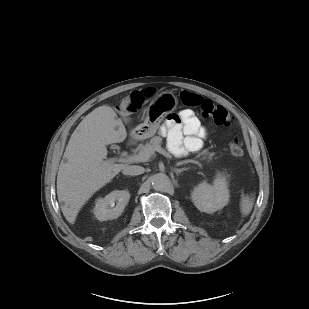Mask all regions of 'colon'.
Returning <instances> with one entry per match:
<instances>
[{"label": "colon", "instance_id": "obj_1", "mask_svg": "<svg viewBox=\"0 0 309 309\" xmlns=\"http://www.w3.org/2000/svg\"><path fill=\"white\" fill-rule=\"evenodd\" d=\"M182 103L196 109L204 118H211L219 126H229L231 116L226 108L213 103L211 100L203 98L200 95L184 91L181 94ZM142 104V97L134 94L128 101L129 110H136ZM229 152L231 155L239 157L244 153L243 144L240 138L236 137L229 143Z\"/></svg>", "mask_w": 309, "mask_h": 309}]
</instances>
